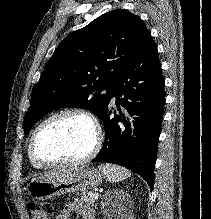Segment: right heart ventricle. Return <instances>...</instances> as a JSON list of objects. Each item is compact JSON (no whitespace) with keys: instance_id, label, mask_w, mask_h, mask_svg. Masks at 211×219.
Returning <instances> with one entry per match:
<instances>
[{"instance_id":"obj_1","label":"right heart ventricle","mask_w":211,"mask_h":219,"mask_svg":"<svg viewBox=\"0 0 211 219\" xmlns=\"http://www.w3.org/2000/svg\"><path fill=\"white\" fill-rule=\"evenodd\" d=\"M28 154H29V152H28ZM29 160H30V163L32 164V166H33L34 168H37V169H43V168H44V167L38 165V164L31 158L30 155H29Z\"/></svg>"}]
</instances>
